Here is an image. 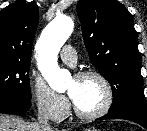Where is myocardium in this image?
Here are the masks:
<instances>
[{"mask_svg": "<svg viewBox=\"0 0 147 131\" xmlns=\"http://www.w3.org/2000/svg\"><path fill=\"white\" fill-rule=\"evenodd\" d=\"M77 78L78 79L94 78L98 80L104 91V100L102 105L97 110L89 113L80 111L73 102V111L75 115L83 120H94L107 114L113 104L114 95H113L112 86L109 80L106 78V76L96 70H87L79 73L77 75Z\"/></svg>", "mask_w": 147, "mask_h": 131, "instance_id": "f54148a6", "label": "myocardium"}]
</instances>
